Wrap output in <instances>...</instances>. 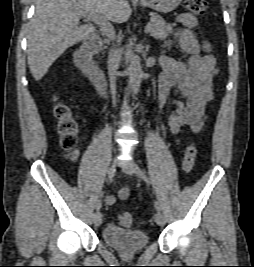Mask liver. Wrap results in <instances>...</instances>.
Returning a JSON list of instances; mask_svg holds the SVG:
<instances>
[{"instance_id": "liver-1", "label": "liver", "mask_w": 254, "mask_h": 267, "mask_svg": "<svg viewBox=\"0 0 254 267\" xmlns=\"http://www.w3.org/2000/svg\"><path fill=\"white\" fill-rule=\"evenodd\" d=\"M96 13L115 23L131 16L126 0H36L29 24L27 59L36 81L69 47L96 32L93 24L80 25L83 13Z\"/></svg>"}]
</instances>
